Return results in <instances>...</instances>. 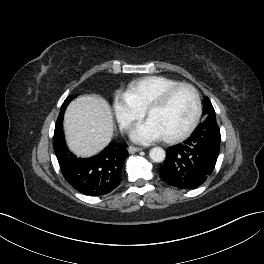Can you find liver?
<instances>
[{
	"label": "liver",
	"mask_w": 264,
	"mask_h": 264,
	"mask_svg": "<svg viewBox=\"0 0 264 264\" xmlns=\"http://www.w3.org/2000/svg\"><path fill=\"white\" fill-rule=\"evenodd\" d=\"M67 145L82 157L92 156L106 147L113 135V116L106 100L95 95L73 100L64 114Z\"/></svg>",
	"instance_id": "obj_1"
}]
</instances>
